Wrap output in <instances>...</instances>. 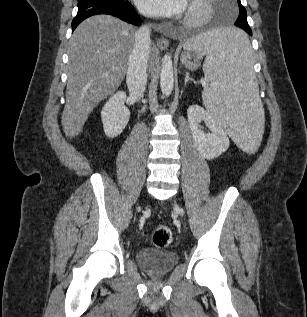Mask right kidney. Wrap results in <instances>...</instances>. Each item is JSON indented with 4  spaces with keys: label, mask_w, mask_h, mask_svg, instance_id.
I'll use <instances>...</instances> for the list:
<instances>
[{
    "label": "right kidney",
    "mask_w": 307,
    "mask_h": 317,
    "mask_svg": "<svg viewBox=\"0 0 307 317\" xmlns=\"http://www.w3.org/2000/svg\"><path fill=\"white\" fill-rule=\"evenodd\" d=\"M126 93L113 94L101 110L103 129L109 138H115L125 129L130 118V111L125 106Z\"/></svg>",
    "instance_id": "right-kidney-1"
}]
</instances>
